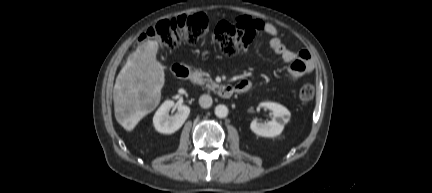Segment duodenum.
<instances>
[{
	"label": "duodenum",
	"mask_w": 432,
	"mask_h": 193,
	"mask_svg": "<svg viewBox=\"0 0 432 193\" xmlns=\"http://www.w3.org/2000/svg\"><path fill=\"white\" fill-rule=\"evenodd\" d=\"M172 71L174 75L180 79L184 80H194L195 72L191 67L182 65V64H174L172 67ZM219 95L222 98H230L234 92H236L235 86L232 85H222L218 88Z\"/></svg>",
	"instance_id": "duodenum-1"
}]
</instances>
